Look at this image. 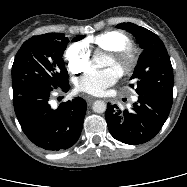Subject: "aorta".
Wrapping results in <instances>:
<instances>
[{
    "label": "aorta",
    "mask_w": 187,
    "mask_h": 187,
    "mask_svg": "<svg viewBox=\"0 0 187 187\" xmlns=\"http://www.w3.org/2000/svg\"><path fill=\"white\" fill-rule=\"evenodd\" d=\"M104 60H105L104 55L99 51H96L95 54L93 55V62L96 65H101L104 62ZM92 108L95 113H103L106 111L107 105L104 101L97 100L93 103Z\"/></svg>",
    "instance_id": "aorta-1"
}]
</instances>
